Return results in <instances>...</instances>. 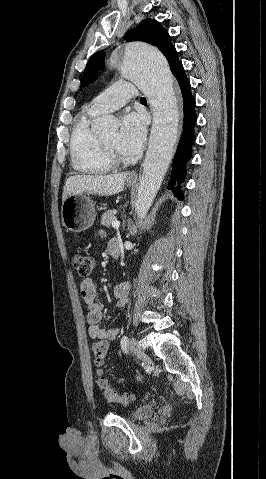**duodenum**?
Here are the masks:
<instances>
[{"label":"duodenum","instance_id":"1","mask_svg":"<svg viewBox=\"0 0 266 479\" xmlns=\"http://www.w3.org/2000/svg\"><path fill=\"white\" fill-rule=\"evenodd\" d=\"M110 255L117 259L120 255V245L117 240H111L108 247Z\"/></svg>","mask_w":266,"mask_h":479}]
</instances>
